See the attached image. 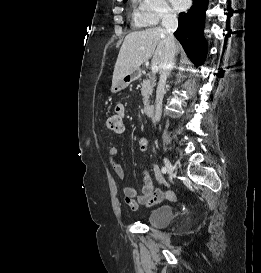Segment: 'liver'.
Instances as JSON below:
<instances>
[{"mask_svg": "<svg viewBox=\"0 0 261 273\" xmlns=\"http://www.w3.org/2000/svg\"><path fill=\"white\" fill-rule=\"evenodd\" d=\"M166 39L167 33L161 27L149 28L128 34L117 57L112 86L115 87L125 75L139 69L150 58H152V64L159 65L160 69L165 56ZM175 50L176 53L180 51V45L176 42Z\"/></svg>", "mask_w": 261, "mask_h": 273, "instance_id": "liver-1", "label": "liver"}]
</instances>
